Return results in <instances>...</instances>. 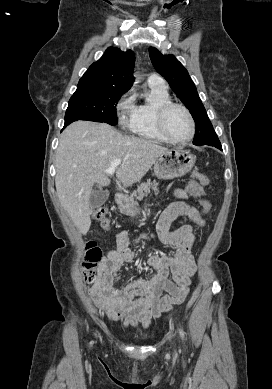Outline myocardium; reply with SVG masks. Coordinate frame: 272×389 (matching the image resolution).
Wrapping results in <instances>:
<instances>
[{
  "mask_svg": "<svg viewBox=\"0 0 272 389\" xmlns=\"http://www.w3.org/2000/svg\"><path fill=\"white\" fill-rule=\"evenodd\" d=\"M172 108L182 109L186 113V115L189 119L190 126H191V132H190V135L185 139L173 138L168 133V131L166 129V116H167V113L169 112V110H171ZM156 124H157V128H158L159 132L162 134V136L167 141L174 143V144H185V143L191 141L194 138L195 133H196L195 120H194L193 115L190 112V110L185 105H183L181 103L173 102V101L166 102L158 108V110L156 112Z\"/></svg>",
  "mask_w": 272,
  "mask_h": 389,
  "instance_id": "1",
  "label": "myocardium"
}]
</instances>
